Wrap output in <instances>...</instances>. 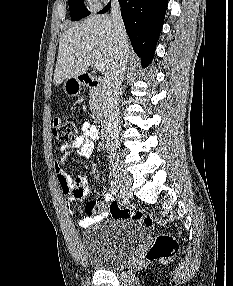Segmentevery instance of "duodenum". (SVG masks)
Masks as SVG:
<instances>
[{
  "label": "duodenum",
  "mask_w": 233,
  "mask_h": 286,
  "mask_svg": "<svg viewBox=\"0 0 233 286\" xmlns=\"http://www.w3.org/2000/svg\"><path fill=\"white\" fill-rule=\"evenodd\" d=\"M80 82L85 85L86 87L98 90L102 86V81L92 75L91 73H83L80 77ZM97 128L102 133L105 134L108 130V121L105 116L101 115L97 119Z\"/></svg>",
  "instance_id": "duodenum-1"
}]
</instances>
